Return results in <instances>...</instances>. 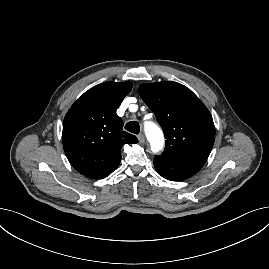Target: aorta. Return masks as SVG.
<instances>
[{"instance_id":"obj_1","label":"aorta","mask_w":269,"mask_h":269,"mask_svg":"<svg viewBox=\"0 0 269 269\" xmlns=\"http://www.w3.org/2000/svg\"><path fill=\"white\" fill-rule=\"evenodd\" d=\"M144 130L152 152L158 154L164 148V135L162 130L153 122H146L144 124Z\"/></svg>"}]
</instances>
